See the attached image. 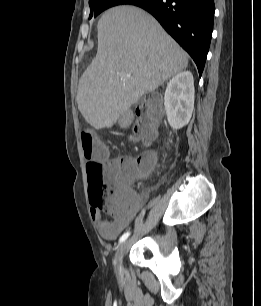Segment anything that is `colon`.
Segmentation results:
<instances>
[{
	"label": "colon",
	"instance_id": "obj_1",
	"mask_svg": "<svg viewBox=\"0 0 261 306\" xmlns=\"http://www.w3.org/2000/svg\"><path fill=\"white\" fill-rule=\"evenodd\" d=\"M158 119V97L155 96L137 105L134 110L132 139L140 142L154 139ZM81 145L83 156L87 160L86 170L91 197L101 200L104 208L111 210L116 201L129 195L128 189L118 183L121 169L114 163H103L106 150L97 144L91 130L85 129L81 132ZM137 171L139 173L148 172V165L144 158L137 161Z\"/></svg>",
	"mask_w": 261,
	"mask_h": 306
}]
</instances>
